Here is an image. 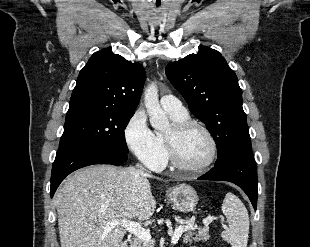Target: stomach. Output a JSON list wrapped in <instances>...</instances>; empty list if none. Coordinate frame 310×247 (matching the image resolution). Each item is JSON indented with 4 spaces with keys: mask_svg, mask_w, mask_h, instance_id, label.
Masks as SVG:
<instances>
[{
    "mask_svg": "<svg viewBox=\"0 0 310 247\" xmlns=\"http://www.w3.org/2000/svg\"><path fill=\"white\" fill-rule=\"evenodd\" d=\"M166 196L173 209L180 212L192 211L198 202L196 191L187 184L168 189Z\"/></svg>",
    "mask_w": 310,
    "mask_h": 247,
    "instance_id": "1",
    "label": "stomach"
}]
</instances>
